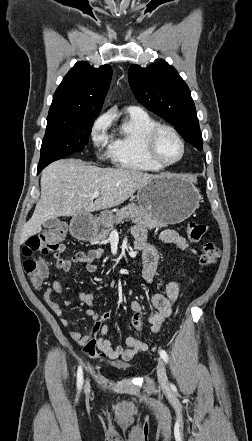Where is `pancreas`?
<instances>
[{"instance_id":"1","label":"pancreas","mask_w":252,"mask_h":441,"mask_svg":"<svg viewBox=\"0 0 252 441\" xmlns=\"http://www.w3.org/2000/svg\"><path fill=\"white\" fill-rule=\"evenodd\" d=\"M130 218L134 223L142 224L147 229L167 227V223L159 221L146 215L140 207L136 204H129L117 211L116 215L112 216L108 224L101 229L94 237L96 241L105 240L113 229L114 225L123 223L125 219Z\"/></svg>"}]
</instances>
